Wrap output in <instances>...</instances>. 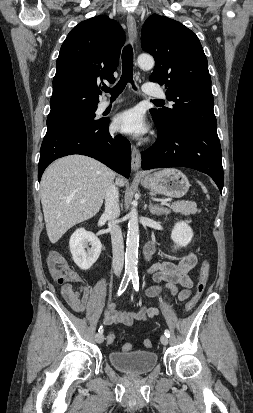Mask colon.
Returning <instances> with one entry per match:
<instances>
[{
    "mask_svg": "<svg viewBox=\"0 0 253 413\" xmlns=\"http://www.w3.org/2000/svg\"><path fill=\"white\" fill-rule=\"evenodd\" d=\"M47 265L50 274L52 275L53 279L56 280L60 284H67L70 283L74 277L75 273L67 264L65 258L56 251H53L49 254L47 258ZM210 273V263L207 260H204L200 272L198 281L196 284L195 294L193 297L185 304V311L188 313L194 309L197 302L199 301L200 297L205 291L206 284L209 278ZM106 340L108 343H113L115 340V334L110 332L107 334ZM153 345L150 339L144 340V346L146 348H151ZM131 349V344L126 343L123 346L124 351H129Z\"/></svg>",
    "mask_w": 253,
    "mask_h": 413,
    "instance_id": "obj_1",
    "label": "colon"
}]
</instances>
